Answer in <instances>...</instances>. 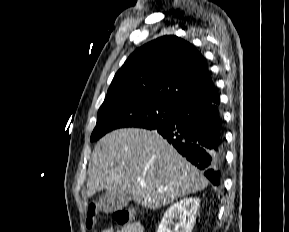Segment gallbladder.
I'll use <instances>...</instances> for the list:
<instances>
[{
	"instance_id": "1",
	"label": "gallbladder",
	"mask_w": 289,
	"mask_h": 232,
	"mask_svg": "<svg viewBox=\"0 0 289 232\" xmlns=\"http://www.w3.org/2000/svg\"><path fill=\"white\" fill-rule=\"evenodd\" d=\"M131 201L128 191L108 190L99 201V208L105 213L121 210Z\"/></svg>"
}]
</instances>
